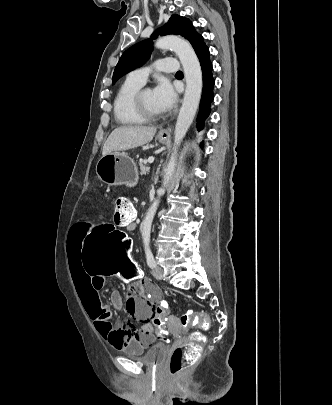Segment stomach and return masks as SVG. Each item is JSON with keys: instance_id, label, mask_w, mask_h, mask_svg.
<instances>
[{"instance_id": "obj_1", "label": "stomach", "mask_w": 332, "mask_h": 405, "mask_svg": "<svg viewBox=\"0 0 332 405\" xmlns=\"http://www.w3.org/2000/svg\"><path fill=\"white\" fill-rule=\"evenodd\" d=\"M156 138L162 144L168 140V137L160 134ZM96 173L98 178L108 185L132 186L139 179L134 160L126 153L118 151L103 155L96 164Z\"/></svg>"}]
</instances>
